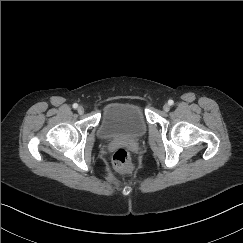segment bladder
Masks as SVG:
<instances>
[{
  "label": "bladder",
  "instance_id": "obj_1",
  "mask_svg": "<svg viewBox=\"0 0 243 243\" xmlns=\"http://www.w3.org/2000/svg\"><path fill=\"white\" fill-rule=\"evenodd\" d=\"M148 125L142 108L129 102L108 104L97 126V135L110 141H136L147 133Z\"/></svg>",
  "mask_w": 243,
  "mask_h": 243
}]
</instances>
